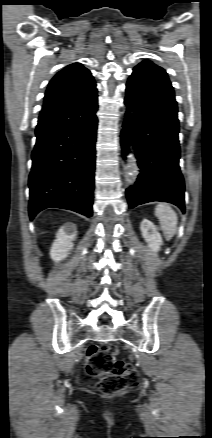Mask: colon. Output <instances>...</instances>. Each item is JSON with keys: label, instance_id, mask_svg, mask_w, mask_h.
<instances>
[{"label": "colon", "instance_id": "obj_1", "mask_svg": "<svg viewBox=\"0 0 212 438\" xmlns=\"http://www.w3.org/2000/svg\"><path fill=\"white\" fill-rule=\"evenodd\" d=\"M116 346L92 345L87 350L85 370L88 375L100 378L98 389L107 395H114L138 386V371L130 364L117 358Z\"/></svg>", "mask_w": 212, "mask_h": 438}]
</instances>
